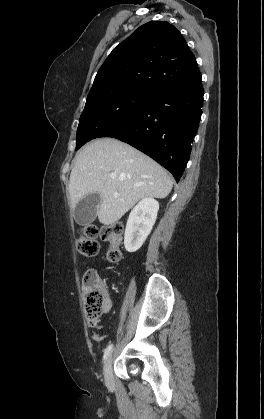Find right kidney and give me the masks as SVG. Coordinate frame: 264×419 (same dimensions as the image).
<instances>
[{
  "label": "right kidney",
  "instance_id": "obj_1",
  "mask_svg": "<svg viewBox=\"0 0 264 419\" xmlns=\"http://www.w3.org/2000/svg\"><path fill=\"white\" fill-rule=\"evenodd\" d=\"M158 210V201L150 197L142 199L132 209L124 234V245L128 252H135L143 245L156 221Z\"/></svg>",
  "mask_w": 264,
  "mask_h": 419
}]
</instances>
